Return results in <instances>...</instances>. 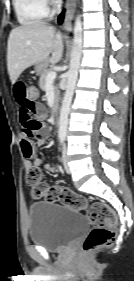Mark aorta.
<instances>
[{
  "mask_svg": "<svg viewBox=\"0 0 134 281\" xmlns=\"http://www.w3.org/2000/svg\"><path fill=\"white\" fill-rule=\"evenodd\" d=\"M82 22L80 16L76 18L74 31H73V46L71 51L70 68L67 74V84L64 98L62 101V106L60 110L59 118V136L65 137L67 133L68 126V115L70 112V106L74 94V89L76 86V81L78 77V70L80 67V59L82 55Z\"/></svg>",
  "mask_w": 134,
  "mask_h": 281,
  "instance_id": "762f6f07",
  "label": "aorta"
}]
</instances>
